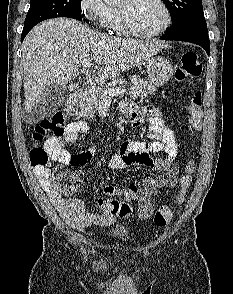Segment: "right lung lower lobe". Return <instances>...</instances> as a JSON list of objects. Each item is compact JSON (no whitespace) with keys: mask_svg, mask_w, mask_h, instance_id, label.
I'll use <instances>...</instances> for the list:
<instances>
[{"mask_svg":"<svg viewBox=\"0 0 233 294\" xmlns=\"http://www.w3.org/2000/svg\"><path fill=\"white\" fill-rule=\"evenodd\" d=\"M31 29L30 28H27V29H23V32H22V36H21V41H23L24 37L26 36V34L30 31Z\"/></svg>","mask_w":233,"mask_h":294,"instance_id":"98d812e1","label":"right lung lower lobe"}]
</instances>
